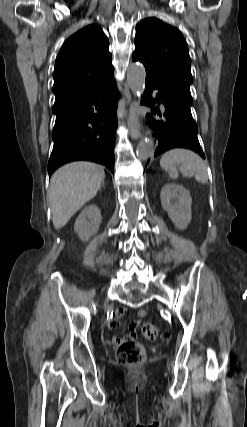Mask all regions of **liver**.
<instances>
[{
	"mask_svg": "<svg viewBox=\"0 0 247 427\" xmlns=\"http://www.w3.org/2000/svg\"><path fill=\"white\" fill-rule=\"evenodd\" d=\"M104 178L102 166L86 161L66 164L52 175L49 202L56 229L64 227L84 204L96 196Z\"/></svg>",
	"mask_w": 247,
	"mask_h": 427,
	"instance_id": "1",
	"label": "liver"
}]
</instances>
